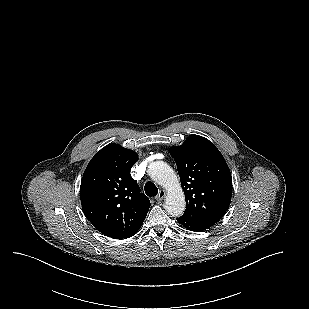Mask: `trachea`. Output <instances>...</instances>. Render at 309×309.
<instances>
[{
    "mask_svg": "<svg viewBox=\"0 0 309 309\" xmlns=\"http://www.w3.org/2000/svg\"><path fill=\"white\" fill-rule=\"evenodd\" d=\"M144 190L147 196L153 197L158 193V189L153 182H147L144 186Z\"/></svg>",
    "mask_w": 309,
    "mask_h": 309,
    "instance_id": "3493384b",
    "label": "trachea"
}]
</instances>
